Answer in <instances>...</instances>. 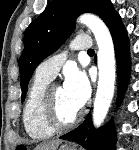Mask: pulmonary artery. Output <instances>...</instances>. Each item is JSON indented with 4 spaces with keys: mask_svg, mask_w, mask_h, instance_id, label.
Wrapping results in <instances>:
<instances>
[{
    "mask_svg": "<svg viewBox=\"0 0 139 150\" xmlns=\"http://www.w3.org/2000/svg\"><path fill=\"white\" fill-rule=\"evenodd\" d=\"M71 48L74 50H89L92 49V41L86 35L77 36L71 43ZM66 59V54H59L43 61L36 70V75L42 78L52 80Z\"/></svg>",
    "mask_w": 139,
    "mask_h": 150,
    "instance_id": "e3ab8cb5",
    "label": "pulmonary artery"
}]
</instances>
